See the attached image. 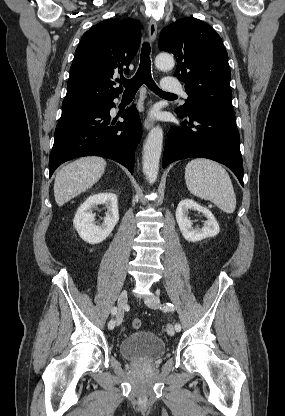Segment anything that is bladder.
I'll return each mask as SVG.
<instances>
[{
  "mask_svg": "<svg viewBox=\"0 0 285 416\" xmlns=\"http://www.w3.org/2000/svg\"><path fill=\"white\" fill-rule=\"evenodd\" d=\"M118 351L122 359L152 362L156 358L164 357L166 343L150 330H140L124 337L118 344Z\"/></svg>",
  "mask_w": 285,
  "mask_h": 416,
  "instance_id": "1",
  "label": "bladder"
}]
</instances>
